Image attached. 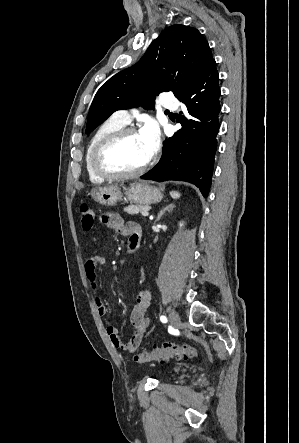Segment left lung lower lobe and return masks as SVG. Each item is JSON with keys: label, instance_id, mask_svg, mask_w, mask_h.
<instances>
[{"label": "left lung lower lobe", "instance_id": "left-lung-lower-lobe-1", "mask_svg": "<svg viewBox=\"0 0 299 443\" xmlns=\"http://www.w3.org/2000/svg\"><path fill=\"white\" fill-rule=\"evenodd\" d=\"M218 81L216 62L213 60L191 87L178 97L185 104L184 111L177 117L182 128L165 140L160 161L141 179L191 182L199 187L204 197L207 196L219 130Z\"/></svg>", "mask_w": 299, "mask_h": 443}]
</instances>
